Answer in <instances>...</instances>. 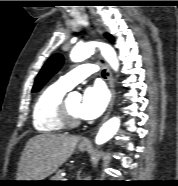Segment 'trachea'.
Returning a JSON list of instances; mask_svg holds the SVG:
<instances>
[{
	"label": "trachea",
	"instance_id": "trachea-1",
	"mask_svg": "<svg viewBox=\"0 0 178 186\" xmlns=\"http://www.w3.org/2000/svg\"><path fill=\"white\" fill-rule=\"evenodd\" d=\"M102 75L105 76V70L102 71Z\"/></svg>",
	"mask_w": 178,
	"mask_h": 186
}]
</instances>
